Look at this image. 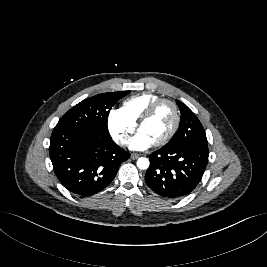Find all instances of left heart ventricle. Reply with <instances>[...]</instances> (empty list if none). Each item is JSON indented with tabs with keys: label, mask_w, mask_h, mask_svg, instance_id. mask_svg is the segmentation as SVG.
I'll use <instances>...</instances> for the list:
<instances>
[{
	"label": "left heart ventricle",
	"mask_w": 267,
	"mask_h": 267,
	"mask_svg": "<svg viewBox=\"0 0 267 267\" xmlns=\"http://www.w3.org/2000/svg\"><path fill=\"white\" fill-rule=\"evenodd\" d=\"M174 123V113L170 105H162L153 117L144 123L139 132L145 134L154 143L164 138Z\"/></svg>",
	"instance_id": "1"
}]
</instances>
